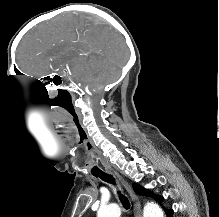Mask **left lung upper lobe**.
<instances>
[{"mask_svg": "<svg viewBox=\"0 0 219 217\" xmlns=\"http://www.w3.org/2000/svg\"><path fill=\"white\" fill-rule=\"evenodd\" d=\"M134 188V191L139 194V195H142V196H151L153 197L156 201L158 202H162L163 201V197L161 196H155L153 194H151L150 192H148L146 189H144L143 187H141L140 185H137V184H134L133 186Z\"/></svg>", "mask_w": 219, "mask_h": 217, "instance_id": "5c2ea615", "label": "left lung upper lobe"}]
</instances>
